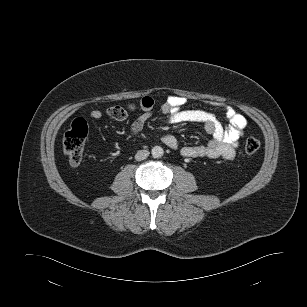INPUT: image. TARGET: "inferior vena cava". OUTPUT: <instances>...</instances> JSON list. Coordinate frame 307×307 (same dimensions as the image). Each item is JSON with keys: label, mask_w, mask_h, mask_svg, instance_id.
Here are the masks:
<instances>
[{"label": "inferior vena cava", "mask_w": 307, "mask_h": 307, "mask_svg": "<svg viewBox=\"0 0 307 307\" xmlns=\"http://www.w3.org/2000/svg\"><path fill=\"white\" fill-rule=\"evenodd\" d=\"M149 156V151L147 150H139L136 155H135V159L137 161H141L146 159Z\"/></svg>", "instance_id": "602c4592"}]
</instances>
